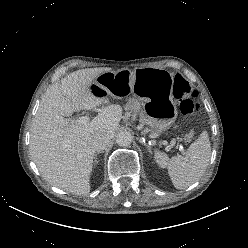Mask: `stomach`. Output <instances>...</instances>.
<instances>
[{"label":"stomach","mask_w":248,"mask_h":248,"mask_svg":"<svg viewBox=\"0 0 248 248\" xmlns=\"http://www.w3.org/2000/svg\"><path fill=\"white\" fill-rule=\"evenodd\" d=\"M173 75L161 68L121 69L99 75L91 90L94 95L126 98L135 94L144 101L147 124L143 132L158 137L175 122L178 111L172 99ZM101 93L95 94L94 91ZM144 124V122H142Z\"/></svg>","instance_id":"obj_1"}]
</instances>
